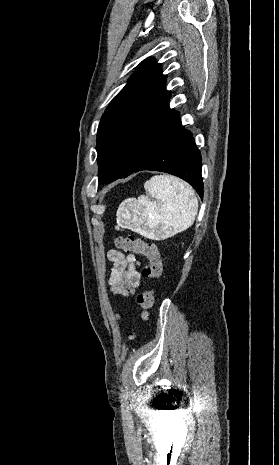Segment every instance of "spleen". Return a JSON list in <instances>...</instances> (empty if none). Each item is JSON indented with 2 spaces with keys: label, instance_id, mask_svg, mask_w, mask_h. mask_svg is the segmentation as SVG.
Returning a JSON list of instances; mask_svg holds the SVG:
<instances>
[{
  "label": "spleen",
  "instance_id": "obj_1",
  "mask_svg": "<svg viewBox=\"0 0 279 465\" xmlns=\"http://www.w3.org/2000/svg\"><path fill=\"white\" fill-rule=\"evenodd\" d=\"M144 188L146 196L128 198L120 204L118 226L147 238H168L193 224L198 200L187 183L174 176L156 175Z\"/></svg>",
  "mask_w": 279,
  "mask_h": 465
}]
</instances>
